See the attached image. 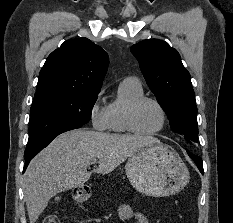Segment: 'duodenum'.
<instances>
[{
	"instance_id": "410a0bca",
	"label": "duodenum",
	"mask_w": 233,
	"mask_h": 223,
	"mask_svg": "<svg viewBox=\"0 0 233 223\" xmlns=\"http://www.w3.org/2000/svg\"><path fill=\"white\" fill-rule=\"evenodd\" d=\"M78 201H84L87 199V193L85 191H79L75 195Z\"/></svg>"
}]
</instances>
